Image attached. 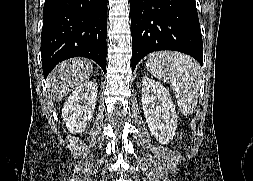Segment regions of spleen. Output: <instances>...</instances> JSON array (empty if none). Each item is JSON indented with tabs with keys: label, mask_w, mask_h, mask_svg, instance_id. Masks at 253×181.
Wrapping results in <instances>:
<instances>
[{
	"label": "spleen",
	"mask_w": 253,
	"mask_h": 181,
	"mask_svg": "<svg viewBox=\"0 0 253 181\" xmlns=\"http://www.w3.org/2000/svg\"><path fill=\"white\" fill-rule=\"evenodd\" d=\"M146 68L154 77L172 86L183 115L193 112L201 85V68L194 59L181 53L163 51L152 54Z\"/></svg>",
	"instance_id": "obj_1"
}]
</instances>
